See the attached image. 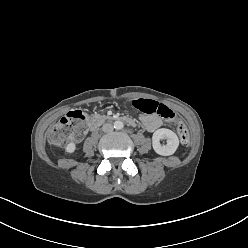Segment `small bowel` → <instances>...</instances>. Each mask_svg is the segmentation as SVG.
<instances>
[{
    "instance_id": "small-bowel-1",
    "label": "small bowel",
    "mask_w": 248,
    "mask_h": 248,
    "mask_svg": "<svg viewBox=\"0 0 248 248\" xmlns=\"http://www.w3.org/2000/svg\"><path fill=\"white\" fill-rule=\"evenodd\" d=\"M140 120L150 132L157 130L162 125L161 119L154 114L141 115Z\"/></svg>"
}]
</instances>
